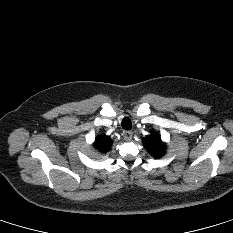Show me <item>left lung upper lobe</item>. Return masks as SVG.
<instances>
[{"label":"left lung upper lobe","mask_w":233,"mask_h":233,"mask_svg":"<svg viewBox=\"0 0 233 233\" xmlns=\"http://www.w3.org/2000/svg\"><path fill=\"white\" fill-rule=\"evenodd\" d=\"M143 143L152 155L160 157L164 154L163 143L158 134L146 136L145 138H143Z\"/></svg>","instance_id":"1"}]
</instances>
